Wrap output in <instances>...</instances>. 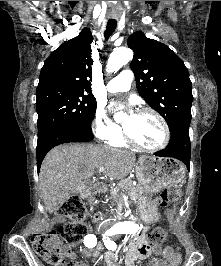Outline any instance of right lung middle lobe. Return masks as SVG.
<instances>
[{
    "instance_id": "obj_1",
    "label": "right lung middle lobe",
    "mask_w": 221,
    "mask_h": 266,
    "mask_svg": "<svg viewBox=\"0 0 221 266\" xmlns=\"http://www.w3.org/2000/svg\"><path fill=\"white\" fill-rule=\"evenodd\" d=\"M92 94L64 88L36 90L38 140L62 128H78L91 132L96 112Z\"/></svg>"
}]
</instances>
